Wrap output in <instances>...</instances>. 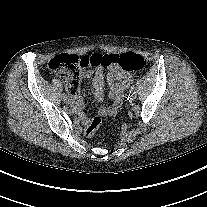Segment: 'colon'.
Returning <instances> with one entry per match:
<instances>
[{"label": "colon", "mask_w": 207, "mask_h": 207, "mask_svg": "<svg viewBox=\"0 0 207 207\" xmlns=\"http://www.w3.org/2000/svg\"><path fill=\"white\" fill-rule=\"evenodd\" d=\"M144 64V58L133 52L120 55L94 53L83 57L62 54L54 57L49 62V68L59 73L66 82L67 89L73 92L79 86L80 73L83 69L117 66L125 71H139L144 67ZM101 122V117L93 118L85 127L84 135L86 137L93 136Z\"/></svg>", "instance_id": "5ec220e1"}]
</instances>
